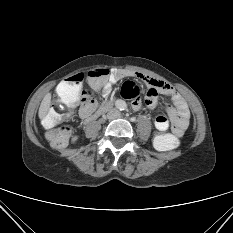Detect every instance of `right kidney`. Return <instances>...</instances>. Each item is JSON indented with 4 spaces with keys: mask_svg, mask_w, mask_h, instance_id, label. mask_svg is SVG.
<instances>
[{
    "mask_svg": "<svg viewBox=\"0 0 233 233\" xmlns=\"http://www.w3.org/2000/svg\"><path fill=\"white\" fill-rule=\"evenodd\" d=\"M78 140V136H73L72 142L75 143Z\"/></svg>",
    "mask_w": 233,
    "mask_h": 233,
    "instance_id": "right-kidney-1",
    "label": "right kidney"
}]
</instances>
